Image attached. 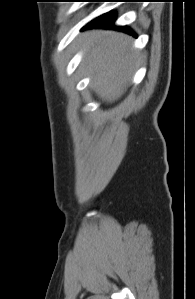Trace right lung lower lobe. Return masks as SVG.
I'll return each mask as SVG.
<instances>
[{"instance_id": "right-lung-lower-lobe-1", "label": "right lung lower lobe", "mask_w": 195, "mask_h": 299, "mask_svg": "<svg viewBox=\"0 0 195 299\" xmlns=\"http://www.w3.org/2000/svg\"><path fill=\"white\" fill-rule=\"evenodd\" d=\"M116 19V15L115 12H108L96 19H94L91 23H89L86 27H84V29H88V28H115L117 30L132 34L134 36H136L131 29L127 28V27H115L114 21Z\"/></svg>"}]
</instances>
